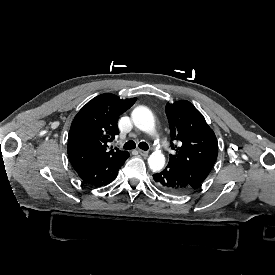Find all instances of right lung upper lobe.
<instances>
[{
	"mask_svg": "<svg viewBox=\"0 0 275 275\" xmlns=\"http://www.w3.org/2000/svg\"><path fill=\"white\" fill-rule=\"evenodd\" d=\"M136 98L121 100L105 93L93 98L75 116L68 135V156L73 168L106 159H119L127 151L109 147L119 133L117 120Z\"/></svg>",
	"mask_w": 275,
	"mask_h": 275,
	"instance_id": "1",
	"label": "right lung upper lobe"
}]
</instances>
